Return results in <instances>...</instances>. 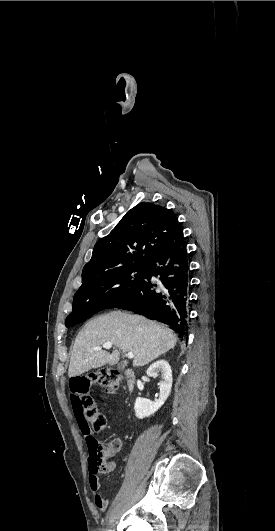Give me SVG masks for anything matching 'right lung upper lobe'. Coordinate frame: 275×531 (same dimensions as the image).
<instances>
[{
    "instance_id": "1",
    "label": "right lung upper lobe",
    "mask_w": 275,
    "mask_h": 531,
    "mask_svg": "<svg viewBox=\"0 0 275 531\" xmlns=\"http://www.w3.org/2000/svg\"><path fill=\"white\" fill-rule=\"evenodd\" d=\"M178 225L171 210L153 203H139L109 235L97 241L91 260L83 268L82 285L121 268L147 266Z\"/></svg>"
}]
</instances>
